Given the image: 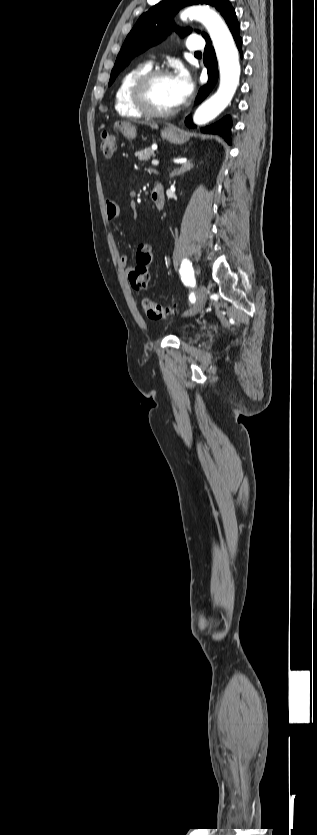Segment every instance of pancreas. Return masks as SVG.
Returning <instances> with one entry per match:
<instances>
[{
  "label": "pancreas",
  "instance_id": "obj_1",
  "mask_svg": "<svg viewBox=\"0 0 317 835\" xmlns=\"http://www.w3.org/2000/svg\"><path fill=\"white\" fill-rule=\"evenodd\" d=\"M134 155L138 157V159L141 161H147L150 159V157H155V152L151 148H146L144 150L135 152Z\"/></svg>",
  "mask_w": 317,
  "mask_h": 835
}]
</instances>
